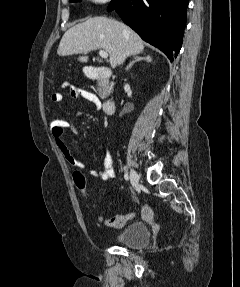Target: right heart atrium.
Instances as JSON below:
<instances>
[{
  "label": "right heart atrium",
  "instance_id": "obj_1",
  "mask_svg": "<svg viewBox=\"0 0 240 287\" xmlns=\"http://www.w3.org/2000/svg\"><path fill=\"white\" fill-rule=\"evenodd\" d=\"M93 3H105L108 2L109 0H90Z\"/></svg>",
  "mask_w": 240,
  "mask_h": 287
}]
</instances>
